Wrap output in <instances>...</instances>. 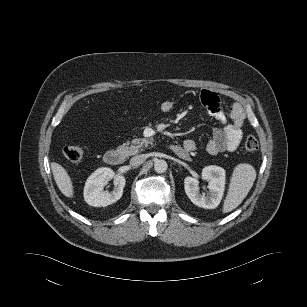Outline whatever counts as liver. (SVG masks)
<instances>
[{
  "mask_svg": "<svg viewBox=\"0 0 307 307\" xmlns=\"http://www.w3.org/2000/svg\"><path fill=\"white\" fill-rule=\"evenodd\" d=\"M51 170L59 190L64 196L72 198L74 194L73 184L65 168L56 162H52Z\"/></svg>",
  "mask_w": 307,
  "mask_h": 307,
  "instance_id": "obj_1",
  "label": "liver"
}]
</instances>
